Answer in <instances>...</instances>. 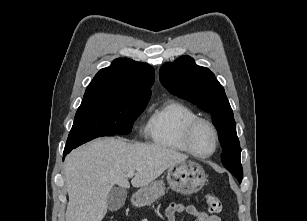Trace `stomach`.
<instances>
[{"label": "stomach", "instance_id": "obj_1", "mask_svg": "<svg viewBox=\"0 0 307 221\" xmlns=\"http://www.w3.org/2000/svg\"><path fill=\"white\" fill-rule=\"evenodd\" d=\"M167 182L172 190L184 195L198 192L206 182V174L203 167L193 161H183L167 171ZM165 193V184L162 180H156L151 184L141 187L133 198L136 206L152 204Z\"/></svg>", "mask_w": 307, "mask_h": 221}]
</instances>
